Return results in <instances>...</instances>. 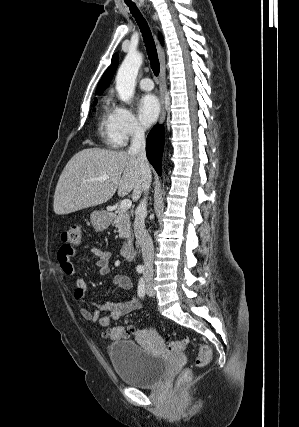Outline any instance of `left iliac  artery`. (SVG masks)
Returning <instances> with one entry per match:
<instances>
[{"label": "left iliac artery", "instance_id": "1", "mask_svg": "<svg viewBox=\"0 0 299 427\" xmlns=\"http://www.w3.org/2000/svg\"><path fill=\"white\" fill-rule=\"evenodd\" d=\"M137 292L140 297H143L145 294V282L143 278L139 280Z\"/></svg>", "mask_w": 299, "mask_h": 427}]
</instances>
